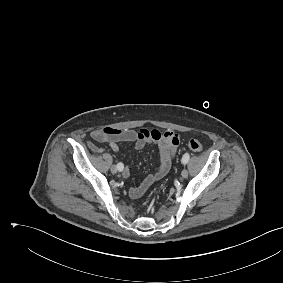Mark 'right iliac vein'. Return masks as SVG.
<instances>
[{"mask_svg": "<svg viewBox=\"0 0 283 283\" xmlns=\"http://www.w3.org/2000/svg\"><path fill=\"white\" fill-rule=\"evenodd\" d=\"M111 172H112L113 174H115V173L118 172V168H117L116 165H113V166L111 167Z\"/></svg>", "mask_w": 283, "mask_h": 283, "instance_id": "1", "label": "right iliac vein"}]
</instances>
